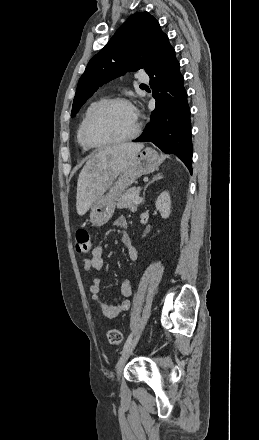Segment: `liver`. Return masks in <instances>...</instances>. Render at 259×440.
Returning a JSON list of instances; mask_svg holds the SVG:
<instances>
[{
    "label": "liver",
    "mask_w": 259,
    "mask_h": 440,
    "mask_svg": "<svg viewBox=\"0 0 259 440\" xmlns=\"http://www.w3.org/2000/svg\"><path fill=\"white\" fill-rule=\"evenodd\" d=\"M143 147L142 143H123L105 147L91 157L77 182L78 215H84L92 207Z\"/></svg>",
    "instance_id": "6515ba94"
}]
</instances>
